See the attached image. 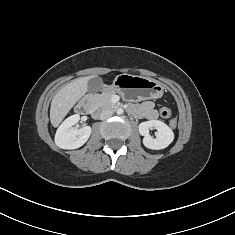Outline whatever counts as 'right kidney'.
Listing matches in <instances>:
<instances>
[{
  "instance_id": "obj_1",
  "label": "right kidney",
  "mask_w": 235,
  "mask_h": 235,
  "mask_svg": "<svg viewBox=\"0 0 235 235\" xmlns=\"http://www.w3.org/2000/svg\"><path fill=\"white\" fill-rule=\"evenodd\" d=\"M80 120L78 114L68 117L57 129L55 143L62 149H76L81 147L89 139L91 127L85 126L80 129L73 127Z\"/></svg>"
}]
</instances>
